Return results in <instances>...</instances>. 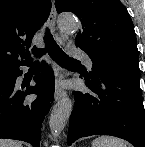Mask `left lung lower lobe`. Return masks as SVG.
I'll return each instance as SVG.
<instances>
[{
  "instance_id": "1",
  "label": "left lung lower lobe",
  "mask_w": 145,
  "mask_h": 147,
  "mask_svg": "<svg viewBox=\"0 0 145 147\" xmlns=\"http://www.w3.org/2000/svg\"><path fill=\"white\" fill-rule=\"evenodd\" d=\"M93 74L82 72L89 93L76 91L67 142L81 137L112 135L145 147V110L139 65L129 62L93 64Z\"/></svg>"
}]
</instances>
